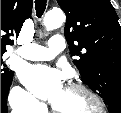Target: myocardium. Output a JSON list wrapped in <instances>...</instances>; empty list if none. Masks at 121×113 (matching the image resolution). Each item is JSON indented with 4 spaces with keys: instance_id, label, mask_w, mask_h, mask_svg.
Instances as JSON below:
<instances>
[{
    "instance_id": "f54148a6",
    "label": "myocardium",
    "mask_w": 121,
    "mask_h": 113,
    "mask_svg": "<svg viewBox=\"0 0 121 113\" xmlns=\"http://www.w3.org/2000/svg\"><path fill=\"white\" fill-rule=\"evenodd\" d=\"M67 88H69L73 91L82 93L84 96H86L89 100H91L96 105V107H97L96 112H91V113L104 112V110L106 108L104 101L102 100V98L100 96H98L95 92H93L87 86H85L83 84H79V83H70V84H68ZM52 110L55 113H66V112H61V111L57 110L54 105H52Z\"/></svg>"
}]
</instances>
